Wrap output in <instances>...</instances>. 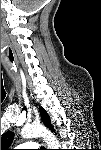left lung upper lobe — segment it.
Masks as SVG:
<instances>
[{"mask_svg": "<svg viewBox=\"0 0 101 150\" xmlns=\"http://www.w3.org/2000/svg\"><path fill=\"white\" fill-rule=\"evenodd\" d=\"M40 114H41V118H42V122L50 129V130H54L52 128L51 125V121L49 118V115L47 114V112L40 107L39 108ZM14 138V134L12 132H7L5 133L2 137H1V149L2 150H7V148L11 145L12 141Z\"/></svg>", "mask_w": 101, "mask_h": 150, "instance_id": "1", "label": "left lung upper lobe"}]
</instances>
